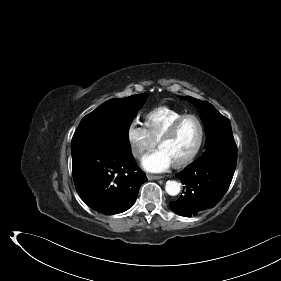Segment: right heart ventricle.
Masks as SVG:
<instances>
[{
    "mask_svg": "<svg viewBox=\"0 0 281 281\" xmlns=\"http://www.w3.org/2000/svg\"><path fill=\"white\" fill-rule=\"evenodd\" d=\"M183 114L167 106L154 108L144 117L145 127L153 140L158 142L172 122Z\"/></svg>",
    "mask_w": 281,
    "mask_h": 281,
    "instance_id": "obj_1",
    "label": "right heart ventricle"
}]
</instances>
